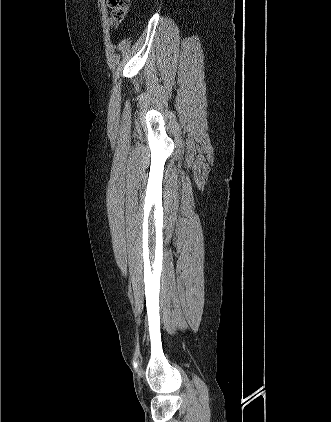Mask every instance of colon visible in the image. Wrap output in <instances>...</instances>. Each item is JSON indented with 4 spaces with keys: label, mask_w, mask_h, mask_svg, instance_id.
Masks as SVG:
<instances>
[{
    "label": "colon",
    "mask_w": 331,
    "mask_h": 422,
    "mask_svg": "<svg viewBox=\"0 0 331 422\" xmlns=\"http://www.w3.org/2000/svg\"><path fill=\"white\" fill-rule=\"evenodd\" d=\"M130 0H107L114 21H122L127 13Z\"/></svg>",
    "instance_id": "obj_1"
}]
</instances>
